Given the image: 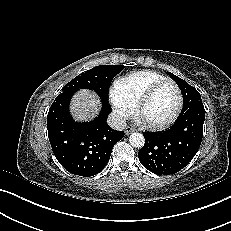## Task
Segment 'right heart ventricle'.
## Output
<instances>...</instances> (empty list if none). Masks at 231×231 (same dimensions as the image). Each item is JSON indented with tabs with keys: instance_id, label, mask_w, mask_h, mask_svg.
I'll list each match as a JSON object with an SVG mask.
<instances>
[{
	"instance_id": "obj_1",
	"label": "right heart ventricle",
	"mask_w": 231,
	"mask_h": 231,
	"mask_svg": "<svg viewBox=\"0 0 231 231\" xmlns=\"http://www.w3.org/2000/svg\"><path fill=\"white\" fill-rule=\"evenodd\" d=\"M163 79L164 76L154 71L137 72L121 80L115 93L125 105L132 108L148 88Z\"/></svg>"
}]
</instances>
